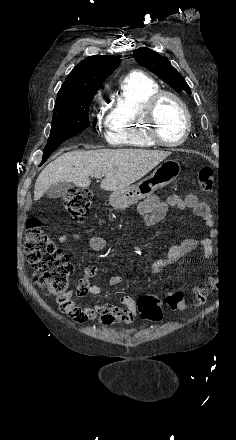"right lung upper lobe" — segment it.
Wrapping results in <instances>:
<instances>
[{"instance_id":"1","label":"right lung upper lobe","mask_w":236,"mask_h":440,"mask_svg":"<svg viewBox=\"0 0 236 440\" xmlns=\"http://www.w3.org/2000/svg\"><path fill=\"white\" fill-rule=\"evenodd\" d=\"M119 63L120 59L113 55H95L83 60L66 78L55 104L96 93Z\"/></svg>"}]
</instances>
